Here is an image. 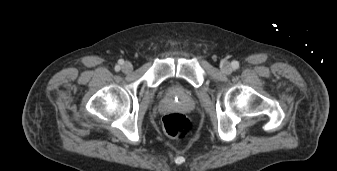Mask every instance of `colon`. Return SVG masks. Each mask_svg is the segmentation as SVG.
Masks as SVG:
<instances>
[{"label": "colon", "instance_id": "5ec220e1", "mask_svg": "<svg viewBox=\"0 0 337 171\" xmlns=\"http://www.w3.org/2000/svg\"><path fill=\"white\" fill-rule=\"evenodd\" d=\"M164 131L170 137L181 139L188 136L193 130L192 120L180 113H170L163 117Z\"/></svg>", "mask_w": 337, "mask_h": 171}]
</instances>
